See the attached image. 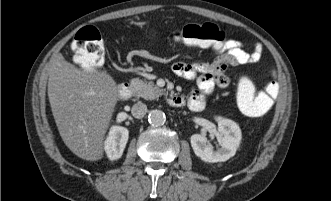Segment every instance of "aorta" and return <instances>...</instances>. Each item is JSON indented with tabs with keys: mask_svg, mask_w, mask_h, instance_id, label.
I'll return each instance as SVG.
<instances>
[{
	"mask_svg": "<svg viewBox=\"0 0 331 201\" xmlns=\"http://www.w3.org/2000/svg\"><path fill=\"white\" fill-rule=\"evenodd\" d=\"M148 121L152 126H161L166 121L165 113L161 110L155 109L149 113Z\"/></svg>",
	"mask_w": 331,
	"mask_h": 201,
	"instance_id": "762f6f07",
	"label": "aorta"
}]
</instances>
